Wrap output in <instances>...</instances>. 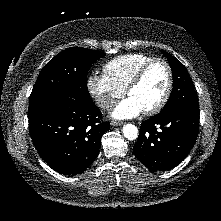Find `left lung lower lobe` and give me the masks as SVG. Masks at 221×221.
Returning <instances> with one entry per match:
<instances>
[{
  "instance_id": "obj_1",
  "label": "left lung lower lobe",
  "mask_w": 221,
  "mask_h": 221,
  "mask_svg": "<svg viewBox=\"0 0 221 221\" xmlns=\"http://www.w3.org/2000/svg\"><path fill=\"white\" fill-rule=\"evenodd\" d=\"M199 129V111L171 109L142 122L133 147L135 156L152 171L177 166L194 146Z\"/></svg>"
}]
</instances>
